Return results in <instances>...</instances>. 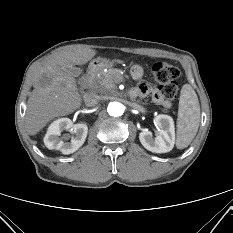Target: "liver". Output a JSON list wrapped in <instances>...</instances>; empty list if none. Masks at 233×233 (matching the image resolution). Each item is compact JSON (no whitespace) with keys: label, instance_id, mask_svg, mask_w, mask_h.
Wrapping results in <instances>:
<instances>
[{"label":"liver","instance_id":"1","mask_svg":"<svg viewBox=\"0 0 233 233\" xmlns=\"http://www.w3.org/2000/svg\"><path fill=\"white\" fill-rule=\"evenodd\" d=\"M95 55L96 50L83 45L53 56L38 69L34 90L27 102L25 126L28 134H37L51 120L81 107L76 80L68 69L86 64Z\"/></svg>","mask_w":233,"mask_h":233}]
</instances>
